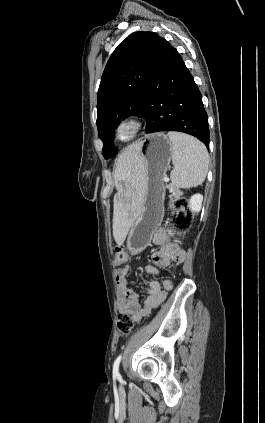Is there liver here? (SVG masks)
I'll return each instance as SVG.
<instances>
[{"label": "liver", "mask_w": 265, "mask_h": 423, "mask_svg": "<svg viewBox=\"0 0 265 423\" xmlns=\"http://www.w3.org/2000/svg\"><path fill=\"white\" fill-rule=\"evenodd\" d=\"M138 142L128 146L117 159L114 180L117 194L114 196L113 237L122 245L138 216L145 190V180L140 170L137 153ZM122 183H125L127 190ZM133 188V191L128 189Z\"/></svg>", "instance_id": "obj_1"}]
</instances>
